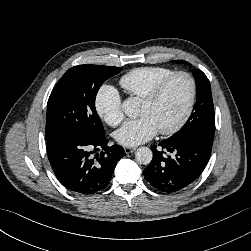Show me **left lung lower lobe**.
<instances>
[{
    "label": "left lung lower lobe",
    "instance_id": "obj_1",
    "mask_svg": "<svg viewBox=\"0 0 251 251\" xmlns=\"http://www.w3.org/2000/svg\"><path fill=\"white\" fill-rule=\"evenodd\" d=\"M212 145L213 142L197 136L164 140L159 147L153 145V159L144 170V177L162 192L173 193L185 189L206 167Z\"/></svg>",
    "mask_w": 251,
    "mask_h": 251
}]
</instances>
